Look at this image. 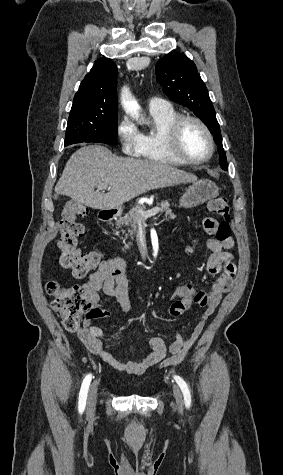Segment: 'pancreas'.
Here are the masks:
<instances>
[{
    "instance_id": "obj_1",
    "label": "pancreas",
    "mask_w": 283,
    "mask_h": 475,
    "mask_svg": "<svg viewBox=\"0 0 283 475\" xmlns=\"http://www.w3.org/2000/svg\"><path fill=\"white\" fill-rule=\"evenodd\" d=\"M156 208H159L158 212H164L165 220H174V218H176L175 214H172V210H170L168 200L157 202ZM142 212H146L144 206H137V208L129 210V214H125L123 218H118V220H116L117 228H123V226H126L129 236H134L137 232L138 222L146 220V218L142 216Z\"/></svg>"
}]
</instances>
